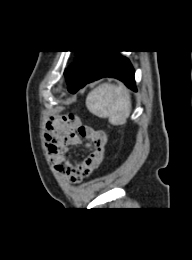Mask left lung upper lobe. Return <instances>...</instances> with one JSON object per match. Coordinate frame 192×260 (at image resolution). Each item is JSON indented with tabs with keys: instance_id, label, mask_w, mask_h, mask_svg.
<instances>
[{
	"instance_id": "left-lung-upper-lobe-1",
	"label": "left lung upper lobe",
	"mask_w": 192,
	"mask_h": 260,
	"mask_svg": "<svg viewBox=\"0 0 192 260\" xmlns=\"http://www.w3.org/2000/svg\"><path fill=\"white\" fill-rule=\"evenodd\" d=\"M81 57L68 69L65 70V75L70 92L75 93V90L81 81L85 71L87 70L90 62L96 55L95 51H80Z\"/></svg>"
}]
</instances>
